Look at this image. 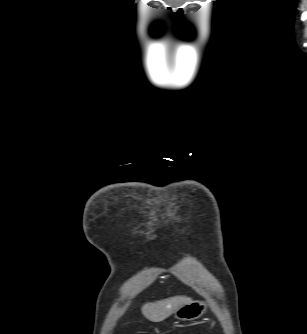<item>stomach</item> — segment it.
<instances>
[{"mask_svg": "<svg viewBox=\"0 0 307 334\" xmlns=\"http://www.w3.org/2000/svg\"><path fill=\"white\" fill-rule=\"evenodd\" d=\"M207 309L203 301H191L174 312V317L181 321H191L201 317Z\"/></svg>", "mask_w": 307, "mask_h": 334, "instance_id": "obj_1", "label": "stomach"}]
</instances>
